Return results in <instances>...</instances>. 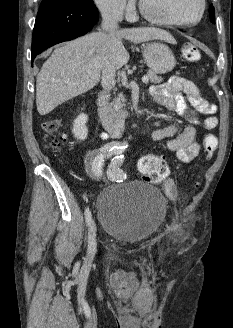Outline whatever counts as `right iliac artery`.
<instances>
[{
  "label": "right iliac artery",
  "mask_w": 233,
  "mask_h": 328,
  "mask_svg": "<svg viewBox=\"0 0 233 328\" xmlns=\"http://www.w3.org/2000/svg\"><path fill=\"white\" fill-rule=\"evenodd\" d=\"M126 147L127 146L120 143H110L103 146L99 150L90 153L86 159V167L88 174L92 178L100 177L102 175V166L104 161L112 155H121ZM85 220L87 225L89 226L92 221L91 212L89 208L85 209Z\"/></svg>",
  "instance_id": "right-iliac-artery-1"
}]
</instances>
